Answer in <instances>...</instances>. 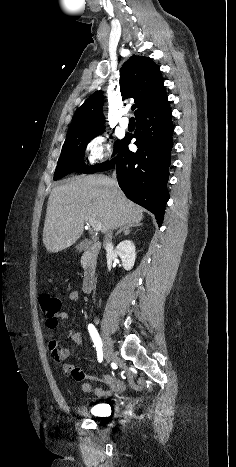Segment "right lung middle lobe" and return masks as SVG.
<instances>
[{
	"label": "right lung middle lobe",
	"instance_id": "right-lung-middle-lobe-1",
	"mask_svg": "<svg viewBox=\"0 0 236 467\" xmlns=\"http://www.w3.org/2000/svg\"><path fill=\"white\" fill-rule=\"evenodd\" d=\"M104 129V128H103ZM103 129L94 130L86 133H73L66 136L60 158L54 174V180H58L72 172L85 174L95 173L106 163L86 167L83 161L84 152L87 144L100 133ZM122 140L115 143L114 153H117Z\"/></svg>",
	"mask_w": 236,
	"mask_h": 467
}]
</instances>
